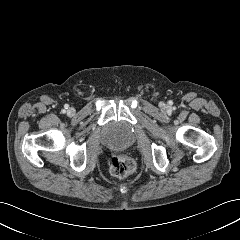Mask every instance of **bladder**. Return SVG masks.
Here are the masks:
<instances>
[{
	"label": "bladder",
	"instance_id": "31cf9c89",
	"mask_svg": "<svg viewBox=\"0 0 240 240\" xmlns=\"http://www.w3.org/2000/svg\"><path fill=\"white\" fill-rule=\"evenodd\" d=\"M134 141L135 136L131 129L121 122H111L104 130L103 144L109 149H125L131 146Z\"/></svg>",
	"mask_w": 240,
	"mask_h": 240
}]
</instances>
